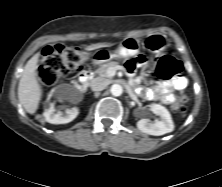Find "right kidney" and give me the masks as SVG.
Here are the masks:
<instances>
[{
  "mask_svg": "<svg viewBox=\"0 0 222 187\" xmlns=\"http://www.w3.org/2000/svg\"><path fill=\"white\" fill-rule=\"evenodd\" d=\"M55 111L54 104L50 103L49 108L43 114L47 122L51 124H66L74 120L79 114V110L76 107L66 109L65 112L57 111L55 113Z\"/></svg>",
  "mask_w": 222,
  "mask_h": 187,
  "instance_id": "ca27d5eb",
  "label": "right kidney"
}]
</instances>
